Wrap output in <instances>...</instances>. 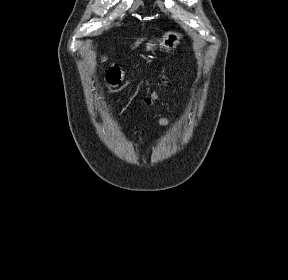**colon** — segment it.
Instances as JSON below:
<instances>
[{"label": "colon", "mask_w": 288, "mask_h": 280, "mask_svg": "<svg viewBox=\"0 0 288 280\" xmlns=\"http://www.w3.org/2000/svg\"><path fill=\"white\" fill-rule=\"evenodd\" d=\"M122 74L118 68H112L107 74V82L110 86H116L121 82ZM158 98L157 94H152L145 99L147 104L153 103Z\"/></svg>", "instance_id": "obj_1"}]
</instances>
